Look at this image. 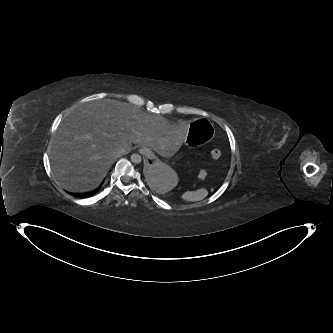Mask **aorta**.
<instances>
[{
  "label": "aorta",
  "instance_id": "1",
  "mask_svg": "<svg viewBox=\"0 0 333 333\" xmlns=\"http://www.w3.org/2000/svg\"><path fill=\"white\" fill-rule=\"evenodd\" d=\"M130 159L134 164H139L142 161V157L138 153H133Z\"/></svg>",
  "mask_w": 333,
  "mask_h": 333
}]
</instances>
